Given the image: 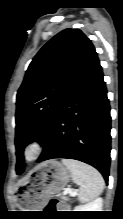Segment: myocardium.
I'll list each match as a JSON object with an SVG mask.
<instances>
[{
	"label": "myocardium",
	"mask_w": 123,
	"mask_h": 219,
	"mask_svg": "<svg viewBox=\"0 0 123 219\" xmlns=\"http://www.w3.org/2000/svg\"><path fill=\"white\" fill-rule=\"evenodd\" d=\"M42 150V141L39 138L31 139L24 146L22 157L28 163L34 162L40 157Z\"/></svg>",
	"instance_id": "myocardium-1"
}]
</instances>
